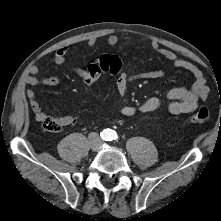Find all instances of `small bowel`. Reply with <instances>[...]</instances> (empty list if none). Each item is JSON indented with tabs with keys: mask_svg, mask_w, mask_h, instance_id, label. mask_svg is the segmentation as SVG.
Instances as JSON below:
<instances>
[{
	"mask_svg": "<svg viewBox=\"0 0 221 221\" xmlns=\"http://www.w3.org/2000/svg\"><path fill=\"white\" fill-rule=\"evenodd\" d=\"M96 40L90 38L87 42L89 46L95 45ZM118 43V37L116 35H110L107 38V44L109 46H115ZM151 49L162 57L170 61L176 68L186 70L192 74L194 83L191 88L175 87L171 89L167 98L169 99L168 109L172 114H184L193 112L199 104V101L206 99L208 95V87L206 85V79L202 71L193 63L179 57L171 50L161 48L156 42L148 41ZM69 51L68 46L60 47L54 55V63L58 66H64L67 62V53ZM69 69L79 76L84 81L88 77V68L80 66H70ZM39 72V68L36 65L30 67L31 75L26 78V83L30 86H57L60 84V79L57 76H50L39 78L36 74ZM164 76L163 71L155 70L139 73L136 75H129L127 73H119L116 81V89L121 98L126 95L128 85L131 81L136 79H159ZM26 96L29 100V104L32 112L34 113L38 121H42V118L46 115L42 110V107L36 99L35 92L31 89L26 90ZM162 102L157 97H150L141 103L138 107L132 105H123L121 107V114L125 117H132L137 112L150 113L159 109ZM63 126H68L73 123L71 116H61L58 118Z\"/></svg>",
	"mask_w": 221,
	"mask_h": 221,
	"instance_id": "c3829d8e",
	"label": "small bowel"
}]
</instances>
